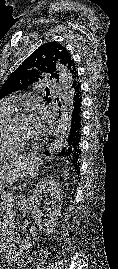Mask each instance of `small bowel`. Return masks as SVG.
I'll return each mask as SVG.
<instances>
[{
  "label": "small bowel",
  "instance_id": "1",
  "mask_svg": "<svg viewBox=\"0 0 118 269\" xmlns=\"http://www.w3.org/2000/svg\"><path fill=\"white\" fill-rule=\"evenodd\" d=\"M13 200L9 201L0 209V221L2 225L1 242H0V253L5 255L6 264H14L18 261L22 254L27 253L31 248V243L27 240L20 241L17 245L12 243L13 229H14V211H13ZM33 234H36V230H32ZM0 269H3L0 267Z\"/></svg>",
  "mask_w": 118,
  "mask_h": 269
}]
</instances>
